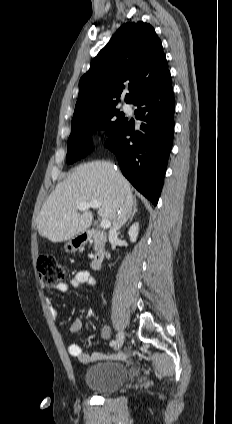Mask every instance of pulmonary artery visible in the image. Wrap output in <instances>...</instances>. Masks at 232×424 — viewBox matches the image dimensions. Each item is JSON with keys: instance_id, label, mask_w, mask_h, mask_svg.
<instances>
[{"instance_id": "pulmonary-artery-1", "label": "pulmonary artery", "mask_w": 232, "mask_h": 424, "mask_svg": "<svg viewBox=\"0 0 232 424\" xmlns=\"http://www.w3.org/2000/svg\"><path fill=\"white\" fill-rule=\"evenodd\" d=\"M125 108H126V109H128V108H129V106H128V105H125Z\"/></svg>"}]
</instances>
